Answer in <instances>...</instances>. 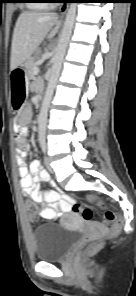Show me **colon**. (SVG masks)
I'll return each mask as SVG.
<instances>
[{
  "label": "colon",
  "instance_id": "obj_1",
  "mask_svg": "<svg viewBox=\"0 0 136 296\" xmlns=\"http://www.w3.org/2000/svg\"><path fill=\"white\" fill-rule=\"evenodd\" d=\"M93 200L96 199L93 198ZM38 208V204L33 201H28L25 204V209L30 215H36L38 213ZM72 210L74 213L80 215L84 221H90L93 218L92 211L77 202L73 204ZM102 220L105 225L111 226L115 229H119L122 225V219L111 210L105 211ZM91 241L92 238L90 237L86 239L87 247L89 246Z\"/></svg>",
  "mask_w": 136,
  "mask_h": 296
}]
</instances>
